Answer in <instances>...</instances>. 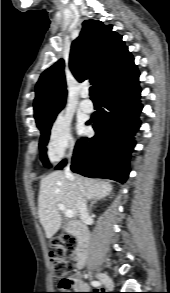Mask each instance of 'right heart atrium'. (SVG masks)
<instances>
[{
    "label": "right heart atrium",
    "instance_id": "d8ad5b80",
    "mask_svg": "<svg viewBox=\"0 0 170 293\" xmlns=\"http://www.w3.org/2000/svg\"><path fill=\"white\" fill-rule=\"evenodd\" d=\"M74 141L71 135V122L63 114L55 117L48 133L47 155L52 162L59 161L67 151H72Z\"/></svg>",
    "mask_w": 170,
    "mask_h": 293
}]
</instances>
